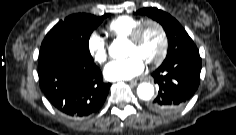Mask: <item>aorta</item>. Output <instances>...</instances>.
Segmentation results:
<instances>
[{
    "instance_id": "762f6f07",
    "label": "aorta",
    "mask_w": 236,
    "mask_h": 135,
    "mask_svg": "<svg viewBox=\"0 0 236 135\" xmlns=\"http://www.w3.org/2000/svg\"><path fill=\"white\" fill-rule=\"evenodd\" d=\"M124 44L120 39L114 40L109 47V55L113 58H120ZM137 95L142 100H150L154 95V86L150 83H141L137 87Z\"/></svg>"
}]
</instances>
